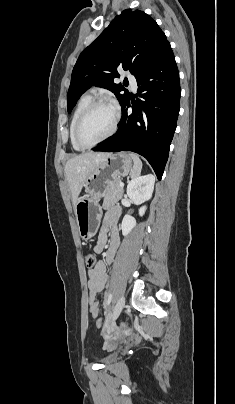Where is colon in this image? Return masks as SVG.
Masks as SVG:
<instances>
[{
  "label": "colon",
  "mask_w": 235,
  "mask_h": 404,
  "mask_svg": "<svg viewBox=\"0 0 235 404\" xmlns=\"http://www.w3.org/2000/svg\"><path fill=\"white\" fill-rule=\"evenodd\" d=\"M85 262H86V266L88 268H93L97 264V258L94 255L89 254V255L86 256ZM96 326L99 327V328H102V327L105 326V322H104L103 318L99 317V318L96 319Z\"/></svg>",
  "instance_id": "1"
}]
</instances>
